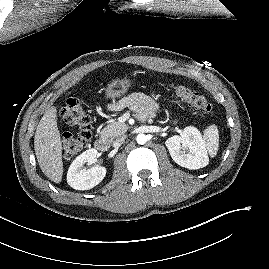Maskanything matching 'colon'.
<instances>
[{"label":"colon","mask_w":269,"mask_h":269,"mask_svg":"<svg viewBox=\"0 0 269 269\" xmlns=\"http://www.w3.org/2000/svg\"><path fill=\"white\" fill-rule=\"evenodd\" d=\"M177 97L205 115L214 113L212 105L199 92L184 86L173 85ZM61 118L77 130L76 134L67 133L63 138V151L68 159L76 157L87 146L92 133V119L80 100L74 96L66 98L60 109Z\"/></svg>","instance_id":"colon-1"}]
</instances>
